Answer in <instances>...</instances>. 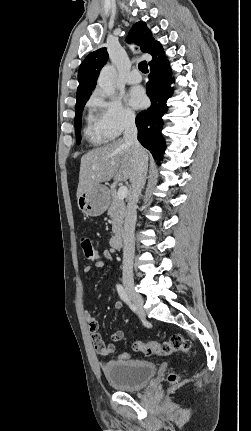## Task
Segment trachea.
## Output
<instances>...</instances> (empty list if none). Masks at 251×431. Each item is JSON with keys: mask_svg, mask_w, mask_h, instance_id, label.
<instances>
[{"mask_svg": "<svg viewBox=\"0 0 251 431\" xmlns=\"http://www.w3.org/2000/svg\"><path fill=\"white\" fill-rule=\"evenodd\" d=\"M138 68L143 73H148V65L146 61H142L139 63Z\"/></svg>", "mask_w": 251, "mask_h": 431, "instance_id": "3493384b", "label": "trachea"}]
</instances>
